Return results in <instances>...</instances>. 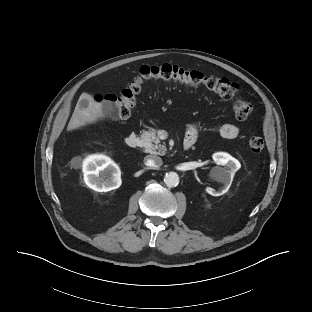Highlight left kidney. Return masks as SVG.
<instances>
[{"label":"left kidney","mask_w":312,"mask_h":312,"mask_svg":"<svg viewBox=\"0 0 312 312\" xmlns=\"http://www.w3.org/2000/svg\"><path fill=\"white\" fill-rule=\"evenodd\" d=\"M212 157L217 165H222L224 167H214L211 170V177L217 182L223 183L224 187L219 191L207 187L206 192L212 196H220L228 191L233 181V177L236 171L240 169L241 164L237 159L224 152L214 153Z\"/></svg>","instance_id":"obj_1"}]
</instances>
